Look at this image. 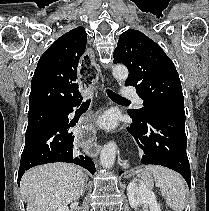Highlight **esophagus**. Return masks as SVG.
I'll return each mask as SVG.
<instances>
[{
    "instance_id": "obj_1",
    "label": "esophagus",
    "mask_w": 209,
    "mask_h": 211,
    "mask_svg": "<svg viewBox=\"0 0 209 211\" xmlns=\"http://www.w3.org/2000/svg\"><path fill=\"white\" fill-rule=\"evenodd\" d=\"M93 61H95V56H81V64H78L79 74L77 78L78 82H80V87H82V91H93L92 82H96L97 74ZM102 88H104L103 85ZM94 137L92 120L82 119L79 133H75L73 137L74 145H77V149H88L89 152H94L95 149L101 148L100 144H95Z\"/></svg>"
}]
</instances>
